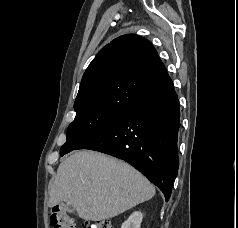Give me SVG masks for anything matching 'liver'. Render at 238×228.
Instances as JSON below:
<instances>
[{
  "label": "liver",
  "mask_w": 238,
  "mask_h": 228,
  "mask_svg": "<svg viewBox=\"0 0 238 228\" xmlns=\"http://www.w3.org/2000/svg\"><path fill=\"white\" fill-rule=\"evenodd\" d=\"M153 185L129 164L93 151H78L58 167L51 207L66 202L86 221L115 217L151 199Z\"/></svg>",
  "instance_id": "liver-1"
}]
</instances>
